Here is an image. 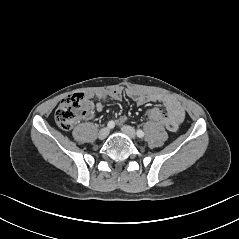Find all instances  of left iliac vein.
Segmentation results:
<instances>
[{"label":"left iliac vein","mask_w":239,"mask_h":239,"mask_svg":"<svg viewBox=\"0 0 239 239\" xmlns=\"http://www.w3.org/2000/svg\"><path fill=\"white\" fill-rule=\"evenodd\" d=\"M121 130L125 135H127L131 139H135L136 132H135V129L133 127L126 125V126H123Z\"/></svg>","instance_id":"4c4485c4"}]
</instances>
